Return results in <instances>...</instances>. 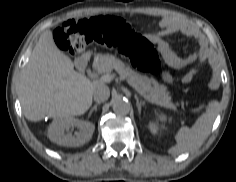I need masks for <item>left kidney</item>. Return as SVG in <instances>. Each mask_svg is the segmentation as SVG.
<instances>
[{"mask_svg":"<svg viewBox=\"0 0 236 182\" xmlns=\"http://www.w3.org/2000/svg\"><path fill=\"white\" fill-rule=\"evenodd\" d=\"M149 129H150V132L153 134V135H156L159 131V127L157 124L155 123H149Z\"/></svg>","mask_w":236,"mask_h":182,"instance_id":"1","label":"left kidney"}]
</instances>
